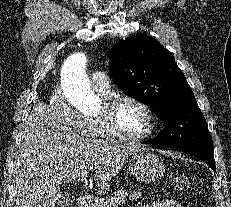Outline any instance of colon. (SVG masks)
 I'll return each instance as SVG.
<instances>
[{"label":"colon","mask_w":231,"mask_h":207,"mask_svg":"<svg viewBox=\"0 0 231 207\" xmlns=\"http://www.w3.org/2000/svg\"><path fill=\"white\" fill-rule=\"evenodd\" d=\"M175 184L178 190L187 192L191 188V180L188 176L178 175L175 177Z\"/></svg>","instance_id":"5ec220e1"}]
</instances>
